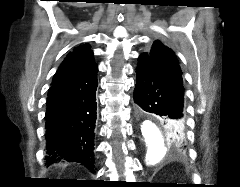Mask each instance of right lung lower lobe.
Masks as SVG:
<instances>
[{
	"label": "right lung lower lobe",
	"instance_id": "98d812e1",
	"mask_svg": "<svg viewBox=\"0 0 240 187\" xmlns=\"http://www.w3.org/2000/svg\"><path fill=\"white\" fill-rule=\"evenodd\" d=\"M97 65L52 84L48 91L46 164L66 160L94 171Z\"/></svg>",
	"mask_w": 240,
	"mask_h": 187
}]
</instances>
